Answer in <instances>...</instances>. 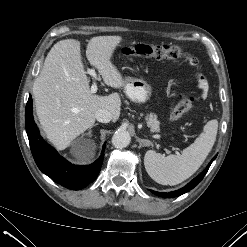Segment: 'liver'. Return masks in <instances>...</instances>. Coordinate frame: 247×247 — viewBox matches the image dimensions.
Returning <instances> with one entry per match:
<instances>
[{"label": "liver", "instance_id": "1", "mask_svg": "<svg viewBox=\"0 0 247 247\" xmlns=\"http://www.w3.org/2000/svg\"><path fill=\"white\" fill-rule=\"evenodd\" d=\"M121 41V36H97L89 40L86 48L89 63L112 88H121L125 83L111 62ZM33 96L42 129L58 150L67 148L73 139L94 125L97 110L110 111L114 122L120 116L121 98L118 93L108 96L91 93L80 42L75 39L61 40L51 48L33 84ZM94 155L95 146H91L76 158L80 163H88Z\"/></svg>", "mask_w": 247, "mask_h": 247}]
</instances>
